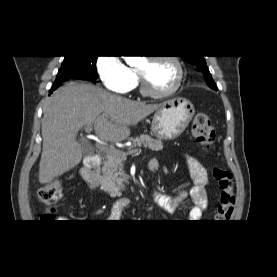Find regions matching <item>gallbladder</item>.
I'll return each mask as SVG.
<instances>
[{"label":"gallbladder","mask_w":277,"mask_h":277,"mask_svg":"<svg viewBox=\"0 0 277 277\" xmlns=\"http://www.w3.org/2000/svg\"><path fill=\"white\" fill-rule=\"evenodd\" d=\"M78 144L80 145L84 155L93 154V151H92L91 147L87 144L86 140L78 139Z\"/></svg>","instance_id":"gallbladder-1"}]
</instances>
